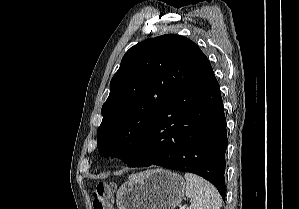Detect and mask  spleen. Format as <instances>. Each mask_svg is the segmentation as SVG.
<instances>
[{"label":"spleen","mask_w":299,"mask_h":209,"mask_svg":"<svg viewBox=\"0 0 299 209\" xmlns=\"http://www.w3.org/2000/svg\"><path fill=\"white\" fill-rule=\"evenodd\" d=\"M185 194L192 200L189 209H220L222 199L217 189L193 173H185Z\"/></svg>","instance_id":"1"}]
</instances>
